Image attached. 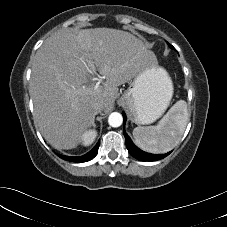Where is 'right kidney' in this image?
<instances>
[{
    "label": "right kidney",
    "mask_w": 227,
    "mask_h": 227,
    "mask_svg": "<svg viewBox=\"0 0 227 227\" xmlns=\"http://www.w3.org/2000/svg\"><path fill=\"white\" fill-rule=\"evenodd\" d=\"M96 136H97V132L94 129L89 130L83 134L81 142L84 146H89L93 143Z\"/></svg>",
    "instance_id": "right-kidney-1"
}]
</instances>
